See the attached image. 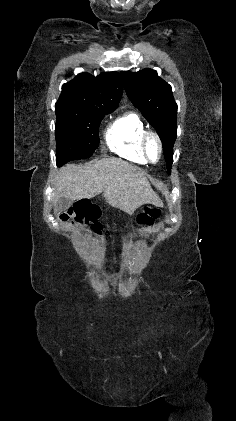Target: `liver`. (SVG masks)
<instances>
[{
  "mask_svg": "<svg viewBox=\"0 0 236 421\" xmlns=\"http://www.w3.org/2000/svg\"><path fill=\"white\" fill-rule=\"evenodd\" d=\"M100 192H103L106 202L121 208L127 215H133L136 208L147 202L155 206L163 204L142 170L127 160L113 156L90 160L85 164L61 166L56 178L53 202L60 196L78 200L93 198Z\"/></svg>",
  "mask_w": 236,
  "mask_h": 421,
  "instance_id": "obj_1",
  "label": "liver"
}]
</instances>
